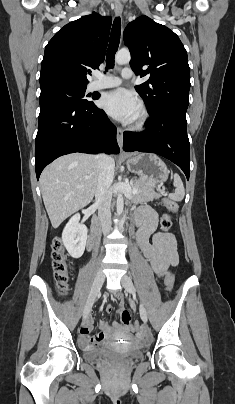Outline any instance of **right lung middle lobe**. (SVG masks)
<instances>
[{"mask_svg":"<svg viewBox=\"0 0 235 404\" xmlns=\"http://www.w3.org/2000/svg\"><path fill=\"white\" fill-rule=\"evenodd\" d=\"M39 102H60L73 106H86L93 102L85 96L87 85H77L68 82H50L42 84ZM92 99H98L97 96H92Z\"/></svg>","mask_w":235,"mask_h":404,"instance_id":"right-lung-middle-lobe-1","label":"right lung middle lobe"}]
</instances>
